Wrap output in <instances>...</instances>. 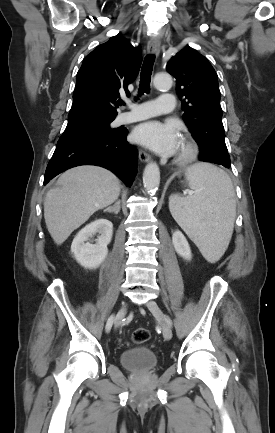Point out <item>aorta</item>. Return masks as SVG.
I'll use <instances>...</instances> for the list:
<instances>
[{
  "mask_svg": "<svg viewBox=\"0 0 275 433\" xmlns=\"http://www.w3.org/2000/svg\"><path fill=\"white\" fill-rule=\"evenodd\" d=\"M153 84L157 89L171 88L173 81L169 74H157L153 79ZM160 184V170L156 163H149L143 173V185L148 193L158 189Z\"/></svg>",
  "mask_w": 275,
  "mask_h": 433,
  "instance_id": "762f6f07",
  "label": "aorta"
}]
</instances>
